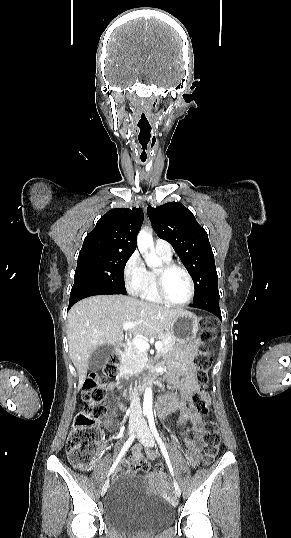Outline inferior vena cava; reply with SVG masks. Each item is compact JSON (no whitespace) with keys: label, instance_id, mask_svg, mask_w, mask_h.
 <instances>
[{"label":"inferior vena cava","instance_id":"obj_1","mask_svg":"<svg viewBox=\"0 0 291 538\" xmlns=\"http://www.w3.org/2000/svg\"><path fill=\"white\" fill-rule=\"evenodd\" d=\"M142 416V408L139 397L135 396L130 403V422L138 424Z\"/></svg>","mask_w":291,"mask_h":538}]
</instances>
